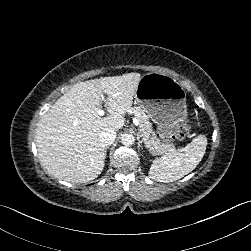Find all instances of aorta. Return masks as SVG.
I'll return each instance as SVG.
<instances>
[{"label":"aorta","instance_id":"762f6f07","mask_svg":"<svg viewBox=\"0 0 251 251\" xmlns=\"http://www.w3.org/2000/svg\"><path fill=\"white\" fill-rule=\"evenodd\" d=\"M121 143L124 146H130L135 142V138L134 135L131 133H124L121 135Z\"/></svg>","mask_w":251,"mask_h":251}]
</instances>
